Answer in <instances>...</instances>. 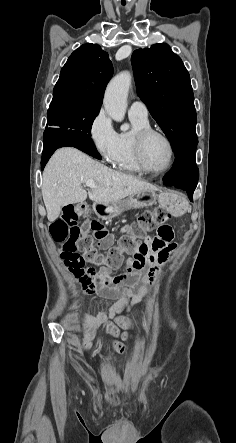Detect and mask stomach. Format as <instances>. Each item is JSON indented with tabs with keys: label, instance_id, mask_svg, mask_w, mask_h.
<instances>
[{
	"label": "stomach",
	"instance_id": "stomach-1",
	"mask_svg": "<svg viewBox=\"0 0 236 443\" xmlns=\"http://www.w3.org/2000/svg\"><path fill=\"white\" fill-rule=\"evenodd\" d=\"M157 199L164 208L176 216L182 215L188 206L186 199L174 192H161L157 195L154 190H143L111 204L98 203L94 209L101 217L111 219L127 210L152 206Z\"/></svg>",
	"mask_w": 236,
	"mask_h": 443
}]
</instances>
